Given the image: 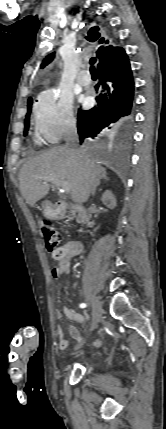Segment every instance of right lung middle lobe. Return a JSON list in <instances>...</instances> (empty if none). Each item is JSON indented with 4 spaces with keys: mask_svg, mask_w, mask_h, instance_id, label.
I'll use <instances>...</instances> for the list:
<instances>
[{
    "mask_svg": "<svg viewBox=\"0 0 166 429\" xmlns=\"http://www.w3.org/2000/svg\"><path fill=\"white\" fill-rule=\"evenodd\" d=\"M28 112L25 118V130H24V136L27 135L28 133V128H29V117H30V113H31V108H32V99L30 101H28Z\"/></svg>",
    "mask_w": 166,
    "mask_h": 429,
    "instance_id": "1",
    "label": "right lung middle lobe"
}]
</instances>
